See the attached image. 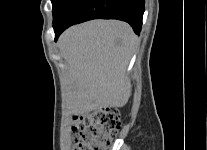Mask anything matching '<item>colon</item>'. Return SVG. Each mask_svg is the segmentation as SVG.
I'll return each mask as SVG.
<instances>
[{
	"mask_svg": "<svg viewBox=\"0 0 207 150\" xmlns=\"http://www.w3.org/2000/svg\"><path fill=\"white\" fill-rule=\"evenodd\" d=\"M121 126L119 113L111 109L91 111L74 118L77 150H107Z\"/></svg>",
	"mask_w": 207,
	"mask_h": 150,
	"instance_id": "colon-1",
	"label": "colon"
}]
</instances>
